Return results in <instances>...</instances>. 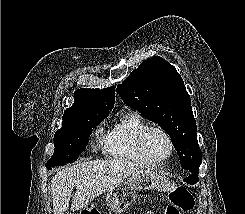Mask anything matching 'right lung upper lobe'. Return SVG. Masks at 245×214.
Here are the masks:
<instances>
[{
    "mask_svg": "<svg viewBox=\"0 0 245 214\" xmlns=\"http://www.w3.org/2000/svg\"><path fill=\"white\" fill-rule=\"evenodd\" d=\"M75 102L63 114L62 131L68 128L72 120L81 115L108 113L115 103V88L106 89H78L74 93Z\"/></svg>",
    "mask_w": 245,
    "mask_h": 214,
    "instance_id": "obj_1",
    "label": "right lung upper lobe"
}]
</instances>
